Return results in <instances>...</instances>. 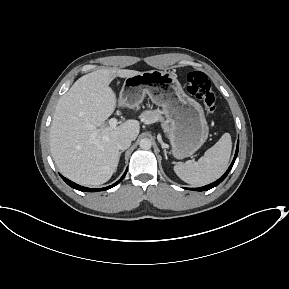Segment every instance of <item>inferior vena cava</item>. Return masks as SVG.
Segmentation results:
<instances>
[{
	"mask_svg": "<svg viewBox=\"0 0 289 289\" xmlns=\"http://www.w3.org/2000/svg\"><path fill=\"white\" fill-rule=\"evenodd\" d=\"M117 148L120 150H126L131 145V139L128 137H120L116 142Z\"/></svg>",
	"mask_w": 289,
	"mask_h": 289,
	"instance_id": "inferior-vena-cava-1",
	"label": "inferior vena cava"
}]
</instances>
